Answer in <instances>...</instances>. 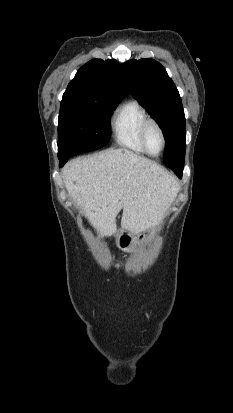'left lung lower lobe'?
I'll use <instances>...</instances> for the list:
<instances>
[{"instance_id": "obj_1", "label": "left lung lower lobe", "mask_w": 233, "mask_h": 413, "mask_svg": "<svg viewBox=\"0 0 233 413\" xmlns=\"http://www.w3.org/2000/svg\"><path fill=\"white\" fill-rule=\"evenodd\" d=\"M173 171L177 174V176H178L179 178H181V177H182V173H183V166H182V167H175Z\"/></svg>"}]
</instances>
